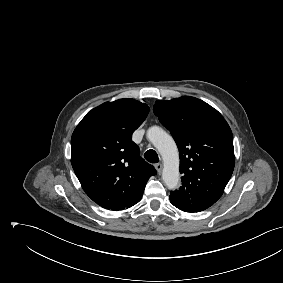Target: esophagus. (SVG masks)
Masks as SVG:
<instances>
[{"label": "esophagus", "instance_id": "esophagus-1", "mask_svg": "<svg viewBox=\"0 0 283 283\" xmlns=\"http://www.w3.org/2000/svg\"><path fill=\"white\" fill-rule=\"evenodd\" d=\"M155 168H156L157 172L160 174V173L162 172L163 166H162L161 163H157V164L155 165Z\"/></svg>", "mask_w": 283, "mask_h": 283}]
</instances>
